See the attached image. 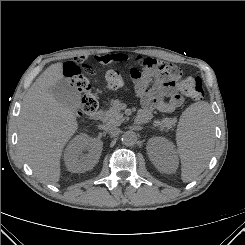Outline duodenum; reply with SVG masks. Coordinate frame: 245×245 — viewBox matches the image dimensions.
<instances>
[{
    "instance_id": "duodenum-1",
    "label": "duodenum",
    "mask_w": 245,
    "mask_h": 245,
    "mask_svg": "<svg viewBox=\"0 0 245 245\" xmlns=\"http://www.w3.org/2000/svg\"><path fill=\"white\" fill-rule=\"evenodd\" d=\"M91 117H92L93 120H100L101 117H102V111H101L100 109L94 111V112L92 113ZM137 120L139 121L140 118L137 117Z\"/></svg>"
}]
</instances>
